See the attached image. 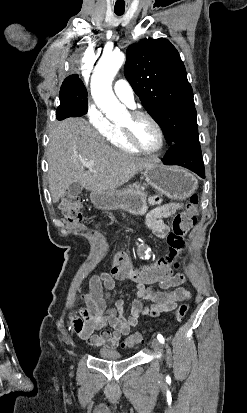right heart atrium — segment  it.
I'll return each mask as SVG.
<instances>
[{
	"label": "right heart atrium",
	"instance_id": "d8ad5b80",
	"mask_svg": "<svg viewBox=\"0 0 247 413\" xmlns=\"http://www.w3.org/2000/svg\"><path fill=\"white\" fill-rule=\"evenodd\" d=\"M103 105H90L89 110L86 111L85 116L87 119H92V122L96 128L97 133H109L110 120L106 119L104 115ZM83 130V129H80ZM93 130V129H86Z\"/></svg>",
	"mask_w": 247,
	"mask_h": 413
}]
</instances>
